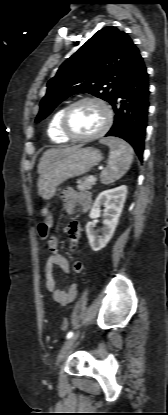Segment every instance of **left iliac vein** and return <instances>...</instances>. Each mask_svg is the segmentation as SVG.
Instances as JSON below:
<instances>
[{"label":"left iliac vein","instance_id":"obj_1","mask_svg":"<svg viewBox=\"0 0 168 415\" xmlns=\"http://www.w3.org/2000/svg\"><path fill=\"white\" fill-rule=\"evenodd\" d=\"M80 335V332H76L75 334H73L62 346L61 351L58 355V359L57 362H60V360L65 356V354L71 349V347L74 345V343L76 342V340L78 339Z\"/></svg>","mask_w":168,"mask_h":415}]
</instances>
